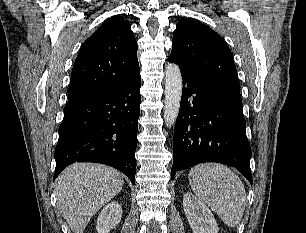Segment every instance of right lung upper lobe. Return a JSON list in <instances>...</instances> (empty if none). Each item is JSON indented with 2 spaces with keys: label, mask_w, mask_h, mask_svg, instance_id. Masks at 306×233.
<instances>
[{
  "label": "right lung upper lobe",
  "mask_w": 306,
  "mask_h": 233,
  "mask_svg": "<svg viewBox=\"0 0 306 233\" xmlns=\"http://www.w3.org/2000/svg\"><path fill=\"white\" fill-rule=\"evenodd\" d=\"M139 70L130 23L122 16H113L82 45L71 73L67 105L107 94Z\"/></svg>",
  "instance_id": "cb5924a9"
}]
</instances>
